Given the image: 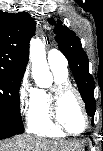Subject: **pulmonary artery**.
I'll list each match as a JSON object with an SVG mask.
<instances>
[{"label":"pulmonary artery","instance_id":"pulmonary-artery-1","mask_svg":"<svg viewBox=\"0 0 103 151\" xmlns=\"http://www.w3.org/2000/svg\"><path fill=\"white\" fill-rule=\"evenodd\" d=\"M48 63L50 66L58 67L63 70H67V59L58 50L52 49L48 53Z\"/></svg>","mask_w":103,"mask_h":151}]
</instances>
